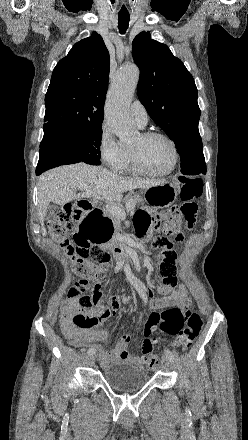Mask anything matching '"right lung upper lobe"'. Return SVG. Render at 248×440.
Instances as JSON below:
<instances>
[{
  "mask_svg": "<svg viewBox=\"0 0 248 440\" xmlns=\"http://www.w3.org/2000/svg\"><path fill=\"white\" fill-rule=\"evenodd\" d=\"M110 57L100 35L76 43L54 68L45 96L44 137L102 125Z\"/></svg>",
  "mask_w": 248,
  "mask_h": 440,
  "instance_id": "obj_1",
  "label": "right lung upper lobe"
}]
</instances>
